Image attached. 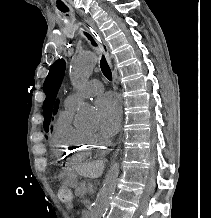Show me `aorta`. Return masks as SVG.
Listing matches in <instances>:
<instances>
[{
	"instance_id": "1",
	"label": "aorta",
	"mask_w": 211,
	"mask_h": 218,
	"mask_svg": "<svg viewBox=\"0 0 211 218\" xmlns=\"http://www.w3.org/2000/svg\"><path fill=\"white\" fill-rule=\"evenodd\" d=\"M97 61V56L92 52L74 57L70 68V79L74 86L80 87L89 79ZM98 123V116L94 109L89 104L82 103L77 111L76 126L83 131H93L98 128ZM119 172L120 165L116 161L111 165L104 185L91 207L90 218H102L107 211L116 190Z\"/></svg>"
}]
</instances>
